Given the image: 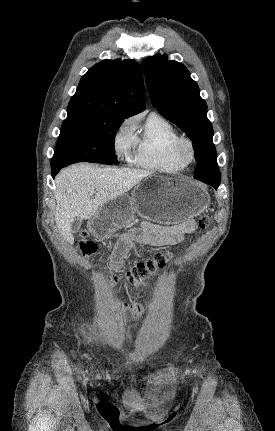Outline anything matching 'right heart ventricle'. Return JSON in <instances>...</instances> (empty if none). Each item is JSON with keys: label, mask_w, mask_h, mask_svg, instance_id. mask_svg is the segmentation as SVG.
Masks as SVG:
<instances>
[{"label": "right heart ventricle", "mask_w": 275, "mask_h": 431, "mask_svg": "<svg viewBox=\"0 0 275 431\" xmlns=\"http://www.w3.org/2000/svg\"><path fill=\"white\" fill-rule=\"evenodd\" d=\"M178 130L166 118L151 113L136 136L137 149L133 162L145 169L176 173L184 168L174 155V145L179 138Z\"/></svg>", "instance_id": "e07e8e85"}]
</instances>
